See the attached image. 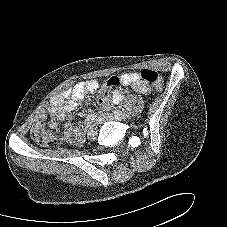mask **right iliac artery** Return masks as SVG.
I'll return each instance as SVG.
<instances>
[{
    "label": "right iliac artery",
    "instance_id": "right-iliac-artery-1",
    "mask_svg": "<svg viewBox=\"0 0 227 227\" xmlns=\"http://www.w3.org/2000/svg\"><path fill=\"white\" fill-rule=\"evenodd\" d=\"M97 115L95 113L89 114L84 122L85 128L88 129L89 127L92 126L93 122L95 121Z\"/></svg>",
    "mask_w": 227,
    "mask_h": 227
}]
</instances>
